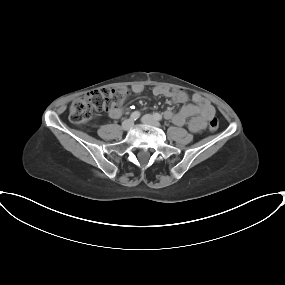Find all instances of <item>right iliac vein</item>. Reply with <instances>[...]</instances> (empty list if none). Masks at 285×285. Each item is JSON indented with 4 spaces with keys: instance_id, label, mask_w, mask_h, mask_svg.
Masks as SVG:
<instances>
[{
    "instance_id": "63e3f726",
    "label": "right iliac vein",
    "mask_w": 285,
    "mask_h": 285,
    "mask_svg": "<svg viewBox=\"0 0 285 285\" xmlns=\"http://www.w3.org/2000/svg\"><path fill=\"white\" fill-rule=\"evenodd\" d=\"M133 125H134L133 120H131V119L125 120V121L122 123V129H123V130H129L130 128L133 127Z\"/></svg>"
}]
</instances>
